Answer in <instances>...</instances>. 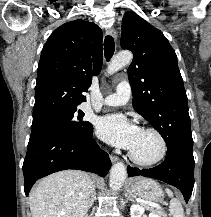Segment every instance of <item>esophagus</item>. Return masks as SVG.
<instances>
[{
	"mask_svg": "<svg viewBox=\"0 0 211 217\" xmlns=\"http://www.w3.org/2000/svg\"><path fill=\"white\" fill-rule=\"evenodd\" d=\"M106 33H107L108 35L112 36L114 39H117V33H116V31H115L114 28H108V29L106 30ZM110 160H111L113 163H115V162L119 161V158H118L117 156L110 155Z\"/></svg>",
	"mask_w": 211,
	"mask_h": 217,
	"instance_id": "esophagus-1",
	"label": "esophagus"
}]
</instances>
